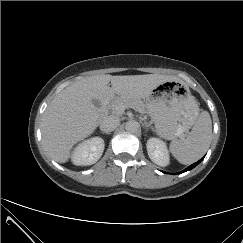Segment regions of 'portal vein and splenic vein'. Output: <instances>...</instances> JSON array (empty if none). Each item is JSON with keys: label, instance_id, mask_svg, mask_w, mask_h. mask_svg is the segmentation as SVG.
Wrapping results in <instances>:
<instances>
[{"label": "portal vein and splenic vein", "instance_id": "18ae733b", "mask_svg": "<svg viewBox=\"0 0 243 243\" xmlns=\"http://www.w3.org/2000/svg\"><path fill=\"white\" fill-rule=\"evenodd\" d=\"M126 107L124 105H119L118 107H116V111L119 114H122L125 111Z\"/></svg>", "mask_w": 243, "mask_h": 243}]
</instances>
